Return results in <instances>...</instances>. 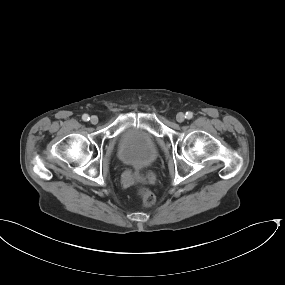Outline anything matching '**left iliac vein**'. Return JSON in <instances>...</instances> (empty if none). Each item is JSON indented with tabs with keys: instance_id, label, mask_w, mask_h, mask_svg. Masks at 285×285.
I'll list each match as a JSON object with an SVG mask.
<instances>
[{
	"instance_id": "obj_1",
	"label": "left iliac vein",
	"mask_w": 285,
	"mask_h": 285,
	"mask_svg": "<svg viewBox=\"0 0 285 285\" xmlns=\"http://www.w3.org/2000/svg\"><path fill=\"white\" fill-rule=\"evenodd\" d=\"M176 120H177V122L182 123L185 120V115L183 113H181V112L178 113L176 115Z\"/></svg>"
}]
</instances>
